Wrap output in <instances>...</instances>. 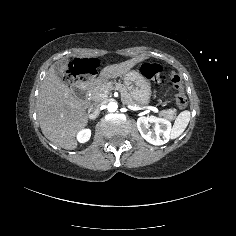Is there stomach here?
I'll list each match as a JSON object with an SVG mask.
<instances>
[{
	"instance_id": "1",
	"label": "stomach",
	"mask_w": 236,
	"mask_h": 236,
	"mask_svg": "<svg viewBox=\"0 0 236 236\" xmlns=\"http://www.w3.org/2000/svg\"><path fill=\"white\" fill-rule=\"evenodd\" d=\"M123 83L131 97L138 104H146L151 96L150 82L138 71L129 70L123 74Z\"/></svg>"
}]
</instances>
